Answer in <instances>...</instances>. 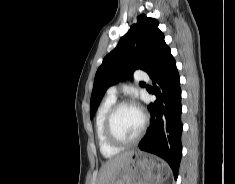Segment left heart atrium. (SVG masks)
<instances>
[{
	"label": "left heart atrium",
	"instance_id": "39dd6f15",
	"mask_svg": "<svg viewBox=\"0 0 235 184\" xmlns=\"http://www.w3.org/2000/svg\"><path fill=\"white\" fill-rule=\"evenodd\" d=\"M135 108L140 111V108H139V107H135Z\"/></svg>",
	"mask_w": 235,
	"mask_h": 184
}]
</instances>
